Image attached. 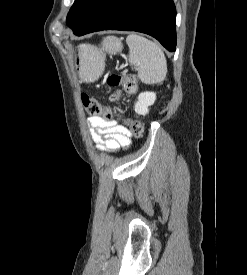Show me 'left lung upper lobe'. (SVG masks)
<instances>
[{
    "mask_svg": "<svg viewBox=\"0 0 247 275\" xmlns=\"http://www.w3.org/2000/svg\"><path fill=\"white\" fill-rule=\"evenodd\" d=\"M101 1L75 0L66 19L67 25L73 30L80 28Z\"/></svg>",
    "mask_w": 247,
    "mask_h": 275,
    "instance_id": "obj_1",
    "label": "left lung upper lobe"
}]
</instances>
